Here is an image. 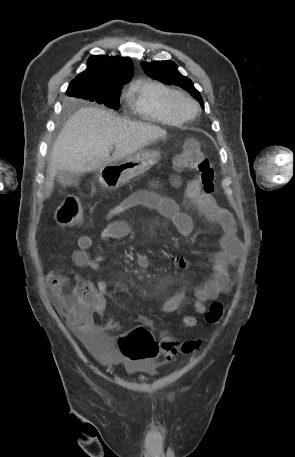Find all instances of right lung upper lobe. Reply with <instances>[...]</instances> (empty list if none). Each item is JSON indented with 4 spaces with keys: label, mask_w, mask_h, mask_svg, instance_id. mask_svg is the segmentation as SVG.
<instances>
[{
    "label": "right lung upper lobe",
    "mask_w": 295,
    "mask_h": 457,
    "mask_svg": "<svg viewBox=\"0 0 295 457\" xmlns=\"http://www.w3.org/2000/svg\"><path fill=\"white\" fill-rule=\"evenodd\" d=\"M88 67L70 83L67 92L81 85L90 89L121 88L133 75V63L129 58L93 55Z\"/></svg>",
    "instance_id": "cb5924a9"
}]
</instances>
